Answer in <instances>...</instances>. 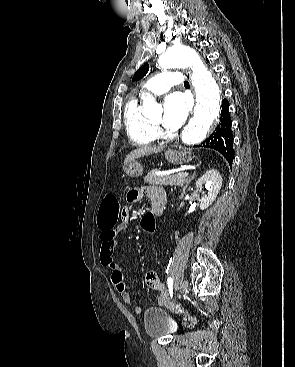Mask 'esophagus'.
<instances>
[{
    "mask_svg": "<svg viewBox=\"0 0 295 367\" xmlns=\"http://www.w3.org/2000/svg\"><path fill=\"white\" fill-rule=\"evenodd\" d=\"M186 76L189 79V81L191 80V72L188 70L186 71Z\"/></svg>",
    "mask_w": 295,
    "mask_h": 367,
    "instance_id": "obj_1",
    "label": "esophagus"
}]
</instances>
